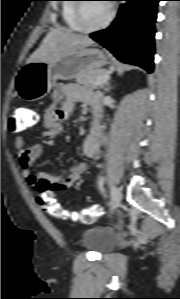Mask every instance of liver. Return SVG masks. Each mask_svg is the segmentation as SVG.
<instances>
[{"mask_svg":"<svg viewBox=\"0 0 180 299\" xmlns=\"http://www.w3.org/2000/svg\"><path fill=\"white\" fill-rule=\"evenodd\" d=\"M94 41L88 36L73 33L64 27H57L46 34L40 46L30 55L27 63L50 62L68 52L83 49Z\"/></svg>","mask_w":180,"mask_h":299,"instance_id":"1","label":"liver"}]
</instances>
